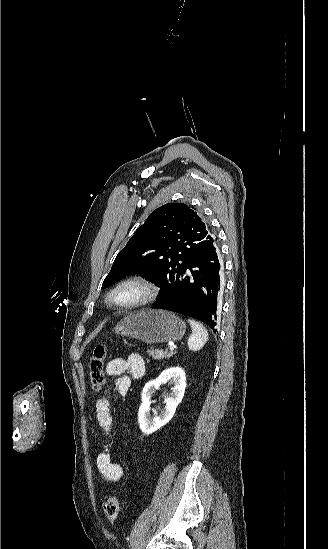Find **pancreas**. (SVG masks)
I'll use <instances>...</instances> for the list:
<instances>
[{
	"label": "pancreas",
	"mask_w": 328,
	"mask_h": 549,
	"mask_svg": "<svg viewBox=\"0 0 328 549\" xmlns=\"http://www.w3.org/2000/svg\"><path fill=\"white\" fill-rule=\"evenodd\" d=\"M147 353L150 357H153V359H157V361H159V359H169V357L176 355V353H168V351H162V349H156V351L148 349Z\"/></svg>",
	"instance_id": "pancreas-1"
}]
</instances>
